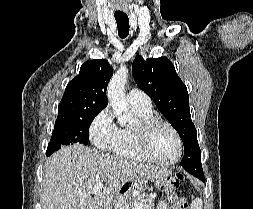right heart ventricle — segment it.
Masks as SVG:
<instances>
[{"mask_svg":"<svg viewBox=\"0 0 253 209\" xmlns=\"http://www.w3.org/2000/svg\"><path fill=\"white\" fill-rule=\"evenodd\" d=\"M131 106L139 120L153 116L152 106L149 107L138 104H131ZM113 151L117 156L126 159L134 161L146 160L138 149L135 126L125 127L120 130V139Z\"/></svg>","mask_w":253,"mask_h":209,"instance_id":"obj_1","label":"right heart ventricle"}]
</instances>
